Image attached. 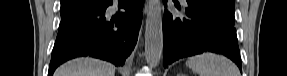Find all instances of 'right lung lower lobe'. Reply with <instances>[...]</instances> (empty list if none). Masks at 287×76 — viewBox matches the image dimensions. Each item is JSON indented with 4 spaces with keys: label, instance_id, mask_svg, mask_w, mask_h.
I'll list each match as a JSON object with an SVG mask.
<instances>
[{
    "label": "right lung lower lobe",
    "instance_id": "1",
    "mask_svg": "<svg viewBox=\"0 0 287 76\" xmlns=\"http://www.w3.org/2000/svg\"><path fill=\"white\" fill-rule=\"evenodd\" d=\"M120 1V0H118ZM145 0H121L125 12L106 9L112 0H94L80 12L62 19L52 51L48 75L65 61L91 56L122 66L137 42Z\"/></svg>",
    "mask_w": 287,
    "mask_h": 76
}]
</instances>
